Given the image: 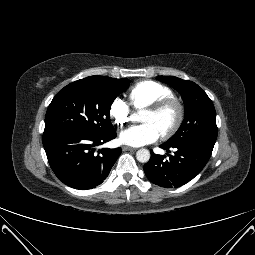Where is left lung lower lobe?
<instances>
[{"mask_svg": "<svg viewBox=\"0 0 255 255\" xmlns=\"http://www.w3.org/2000/svg\"><path fill=\"white\" fill-rule=\"evenodd\" d=\"M170 153L175 148L174 155H156L151 151L150 160L144 165L147 178L154 184L165 188L179 187L192 180L208 162L213 148L201 144L171 146L160 145Z\"/></svg>", "mask_w": 255, "mask_h": 255, "instance_id": "0a47b994", "label": "left lung lower lobe"}]
</instances>
